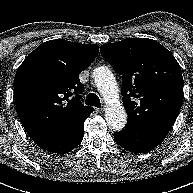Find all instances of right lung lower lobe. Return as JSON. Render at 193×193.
I'll list each match as a JSON object with an SVG mask.
<instances>
[{"instance_id": "98d812e1", "label": "right lung lower lobe", "mask_w": 193, "mask_h": 193, "mask_svg": "<svg viewBox=\"0 0 193 193\" xmlns=\"http://www.w3.org/2000/svg\"><path fill=\"white\" fill-rule=\"evenodd\" d=\"M89 115L60 130L44 132L30 137L40 148L48 152L58 154L69 152L82 141L84 121Z\"/></svg>"}]
</instances>
